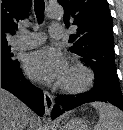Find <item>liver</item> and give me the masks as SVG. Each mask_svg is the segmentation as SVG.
Masks as SVG:
<instances>
[{"label":"liver","mask_w":123,"mask_h":130,"mask_svg":"<svg viewBox=\"0 0 123 130\" xmlns=\"http://www.w3.org/2000/svg\"><path fill=\"white\" fill-rule=\"evenodd\" d=\"M27 124L34 127L32 111L14 95L1 89V130H23Z\"/></svg>","instance_id":"liver-1"}]
</instances>
